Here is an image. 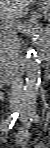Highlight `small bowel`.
<instances>
[{"mask_svg":"<svg viewBox=\"0 0 50 148\" xmlns=\"http://www.w3.org/2000/svg\"><path fill=\"white\" fill-rule=\"evenodd\" d=\"M28 142V132L26 130H21L16 135V143L20 147H25ZM37 148H45L46 146L43 143H40L36 146Z\"/></svg>","mask_w":50,"mask_h":148,"instance_id":"small-bowel-1","label":"small bowel"}]
</instances>
